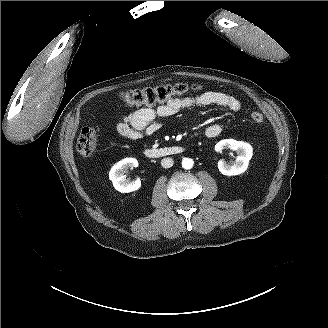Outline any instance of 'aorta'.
<instances>
[{
	"label": "aorta",
	"mask_w": 328,
	"mask_h": 328,
	"mask_svg": "<svg viewBox=\"0 0 328 328\" xmlns=\"http://www.w3.org/2000/svg\"><path fill=\"white\" fill-rule=\"evenodd\" d=\"M182 167L184 169H191L193 167V161L190 158H184L182 161Z\"/></svg>",
	"instance_id": "762f6f07"
}]
</instances>
